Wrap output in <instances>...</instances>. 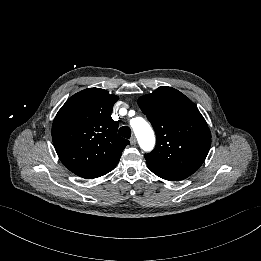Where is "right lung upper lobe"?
Wrapping results in <instances>:
<instances>
[{
	"instance_id": "obj_1",
	"label": "right lung upper lobe",
	"mask_w": 261,
	"mask_h": 261,
	"mask_svg": "<svg viewBox=\"0 0 261 261\" xmlns=\"http://www.w3.org/2000/svg\"><path fill=\"white\" fill-rule=\"evenodd\" d=\"M118 96L88 88L70 97L57 113L52 138L61 162L83 178L113 170L129 141L117 134L111 112Z\"/></svg>"
}]
</instances>
